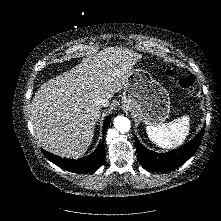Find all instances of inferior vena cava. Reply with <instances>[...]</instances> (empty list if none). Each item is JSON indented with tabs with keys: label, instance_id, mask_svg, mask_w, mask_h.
Listing matches in <instances>:
<instances>
[{
	"label": "inferior vena cava",
	"instance_id": "602c4592",
	"mask_svg": "<svg viewBox=\"0 0 221 221\" xmlns=\"http://www.w3.org/2000/svg\"><path fill=\"white\" fill-rule=\"evenodd\" d=\"M96 103H97V105H99V106L105 107V106H107V104H108V100H106V99H104V98H99V99L96 100Z\"/></svg>",
	"mask_w": 221,
	"mask_h": 221
}]
</instances>
